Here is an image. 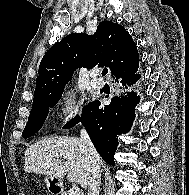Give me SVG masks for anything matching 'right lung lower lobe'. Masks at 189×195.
<instances>
[{
  "label": "right lung lower lobe",
  "instance_id": "obj_1",
  "mask_svg": "<svg viewBox=\"0 0 189 195\" xmlns=\"http://www.w3.org/2000/svg\"><path fill=\"white\" fill-rule=\"evenodd\" d=\"M137 69L124 77L117 78L121 92L111 99L109 105H101L100 101L95 100L83 108L81 118L76 116L64 126L71 128L81 121L97 152L113 166L118 135L126 133L131 128L135 117V106L140 98L135 92L130 91L141 77Z\"/></svg>",
  "mask_w": 189,
  "mask_h": 195
}]
</instances>
